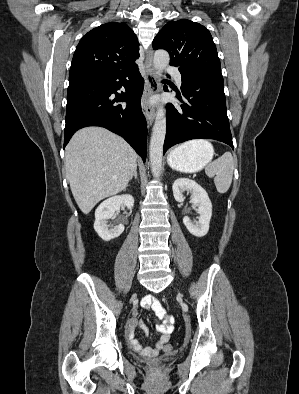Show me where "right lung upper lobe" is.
Listing matches in <instances>:
<instances>
[{
    "instance_id": "cb5924a9",
    "label": "right lung upper lobe",
    "mask_w": 299,
    "mask_h": 394,
    "mask_svg": "<svg viewBox=\"0 0 299 394\" xmlns=\"http://www.w3.org/2000/svg\"><path fill=\"white\" fill-rule=\"evenodd\" d=\"M139 43L125 23L110 22L89 31L75 50L69 82L137 67Z\"/></svg>"
}]
</instances>
